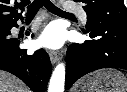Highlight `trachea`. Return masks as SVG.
I'll return each instance as SVG.
<instances>
[{"label": "trachea", "instance_id": "1", "mask_svg": "<svg viewBox=\"0 0 127 92\" xmlns=\"http://www.w3.org/2000/svg\"><path fill=\"white\" fill-rule=\"evenodd\" d=\"M45 7L49 12L57 15L74 16L72 13L65 12L56 7L50 0H34L31 5L28 6L27 16H35L41 7Z\"/></svg>", "mask_w": 127, "mask_h": 92}]
</instances>
